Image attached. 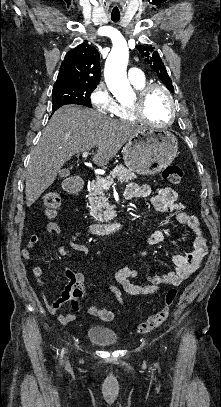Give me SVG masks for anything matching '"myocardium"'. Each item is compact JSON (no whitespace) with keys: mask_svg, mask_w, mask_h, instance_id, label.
<instances>
[{"mask_svg":"<svg viewBox=\"0 0 221 407\" xmlns=\"http://www.w3.org/2000/svg\"><path fill=\"white\" fill-rule=\"evenodd\" d=\"M154 90L163 91L171 106V115H170L168 122H166L165 124H161V125L154 124V122H152L145 113V105H146L147 99H148L149 95L151 94V92ZM132 110H133V114L137 120H139L147 125H151V126H155L157 128L164 129V128L170 127L174 123L175 118H176V113H177V105L173 98V95L171 94V92L169 91V89L167 87H165L162 84L152 83V84H147L143 88L138 90L136 98H135L134 102L132 103Z\"/></svg>","mask_w":221,"mask_h":407,"instance_id":"obj_1","label":"myocardium"}]
</instances>
